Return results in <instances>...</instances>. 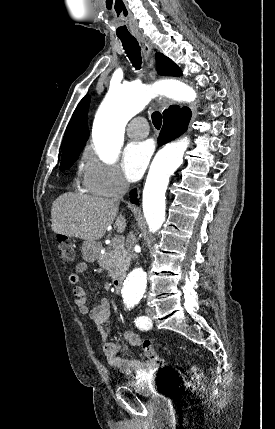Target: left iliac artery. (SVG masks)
Returning a JSON list of instances; mask_svg holds the SVG:
<instances>
[{
    "label": "left iliac artery",
    "mask_w": 275,
    "mask_h": 429,
    "mask_svg": "<svg viewBox=\"0 0 275 429\" xmlns=\"http://www.w3.org/2000/svg\"><path fill=\"white\" fill-rule=\"evenodd\" d=\"M136 326L141 330H148L151 327V320L146 316H140L135 319Z\"/></svg>",
    "instance_id": "1"
}]
</instances>
